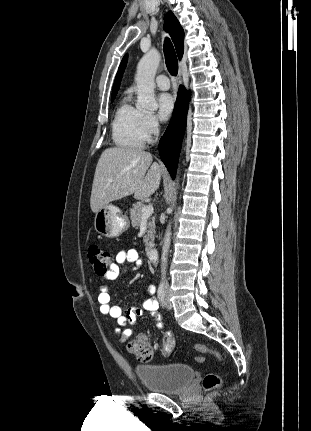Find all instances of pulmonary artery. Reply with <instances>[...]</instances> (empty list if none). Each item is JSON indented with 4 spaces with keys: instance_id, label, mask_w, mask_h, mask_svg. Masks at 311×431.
<instances>
[{
    "instance_id": "obj_1",
    "label": "pulmonary artery",
    "mask_w": 311,
    "mask_h": 431,
    "mask_svg": "<svg viewBox=\"0 0 311 431\" xmlns=\"http://www.w3.org/2000/svg\"><path fill=\"white\" fill-rule=\"evenodd\" d=\"M156 83L160 90H168L171 87L169 78L164 74L156 77Z\"/></svg>"
}]
</instances>
